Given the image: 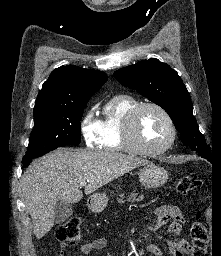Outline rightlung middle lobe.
<instances>
[{"label": "right lung middle lobe", "mask_w": 221, "mask_h": 256, "mask_svg": "<svg viewBox=\"0 0 221 256\" xmlns=\"http://www.w3.org/2000/svg\"><path fill=\"white\" fill-rule=\"evenodd\" d=\"M89 99L72 107L34 111V129L22 163L28 166L33 158L65 145H78L81 141V117Z\"/></svg>", "instance_id": "1"}]
</instances>
